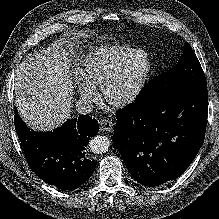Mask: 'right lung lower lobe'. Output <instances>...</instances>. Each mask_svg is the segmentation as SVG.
Returning <instances> with one entry per match:
<instances>
[{"label": "right lung lower lobe", "mask_w": 219, "mask_h": 219, "mask_svg": "<svg viewBox=\"0 0 219 219\" xmlns=\"http://www.w3.org/2000/svg\"><path fill=\"white\" fill-rule=\"evenodd\" d=\"M14 124L28 165L46 183L74 190L93 174L96 162L85 156V147L98 133L99 125L94 118L80 115L53 132H34L15 108Z\"/></svg>", "instance_id": "right-lung-lower-lobe-1"}]
</instances>
